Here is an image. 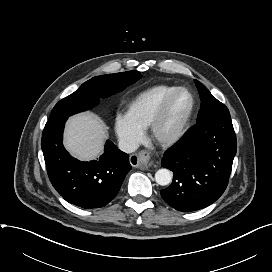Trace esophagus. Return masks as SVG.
<instances>
[{
  "mask_svg": "<svg viewBox=\"0 0 272 272\" xmlns=\"http://www.w3.org/2000/svg\"><path fill=\"white\" fill-rule=\"evenodd\" d=\"M133 164H136L141 169H149L153 165V161L150 159V153L148 151H140L136 156L131 159Z\"/></svg>",
  "mask_w": 272,
  "mask_h": 272,
  "instance_id": "obj_1",
  "label": "esophagus"
}]
</instances>
